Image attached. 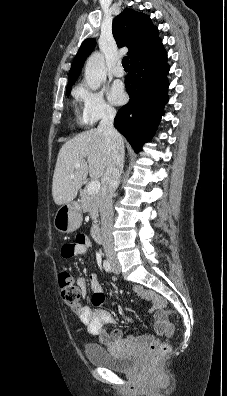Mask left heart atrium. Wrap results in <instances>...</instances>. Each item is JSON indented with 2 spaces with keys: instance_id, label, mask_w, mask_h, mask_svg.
Segmentation results:
<instances>
[{
  "instance_id": "obj_1",
  "label": "left heart atrium",
  "mask_w": 227,
  "mask_h": 396,
  "mask_svg": "<svg viewBox=\"0 0 227 396\" xmlns=\"http://www.w3.org/2000/svg\"><path fill=\"white\" fill-rule=\"evenodd\" d=\"M109 99L114 104H122L126 100V94L122 85L116 83L109 90Z\"/></svg>"
}]
</instances>
